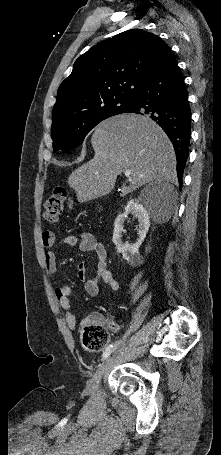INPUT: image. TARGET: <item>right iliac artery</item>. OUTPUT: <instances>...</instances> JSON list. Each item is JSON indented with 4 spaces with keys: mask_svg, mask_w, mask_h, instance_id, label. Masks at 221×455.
<instances>
[{
    "mask_svg": "<svg viewBox=\"0 0 221 455\" xmlns=\"http://www.w3.org/2000/svg\"><path fill=\"white\" fill-rule=\"evenodd\" d=\"M112 345H109L106 350L103 352V358H107L112 352Z\"/></svg>",
    "mask_w": 221,
    "mask_h": 455,
    "instance_id": "obj_1",
    "label": "right iliac artery"
}]
</instances>
